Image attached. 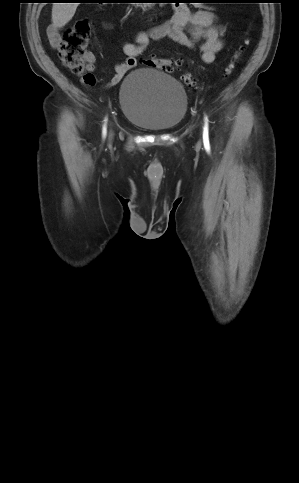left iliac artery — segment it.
I'll use <instances>...</instances> for the list:
<instances>
[{
    "label": "left iliac artery",
    "instance_id": "obj_1",
    "mask_svg": "<svg viewBox=\"0 0 299 483\" xmlns=\"http://www.w3.org/2000/svg\"><path fill=\"white\" fill-rule=\"evenodd\" d=\"M205 138H208V124H207V118H205V126H204V133H203Z\"/></svg>",
    "mask_w": 299,
    "mask_h": 483
}]
</instances>
